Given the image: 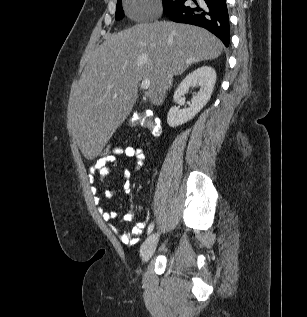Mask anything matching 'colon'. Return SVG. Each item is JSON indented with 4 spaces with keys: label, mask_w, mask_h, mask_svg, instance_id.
Here are the masks:
<instances>
[{
    "label": "colon",
    "mask_w": 307,
    "mask_h": 317,
    "mask_svg": "<svg viewBox=\"0 0 307 317\" xmlns=\"http://www.w3.org/2000/svg\"><path fill=\"white\" fill-rule=\"evenodd\" d=\"M129 125L131 127L135 126H142L144 129H146L149 133H154L157 128L159 127V124H156L154 121H147L140 117H134L130 120ZM119 148V146H114L111 144L104 145L100 152L98 159L103 161H108L111 158H113L116 155V151Z\"/></svg>",
    "instance_id": "colon-1"
}]
</instances>
